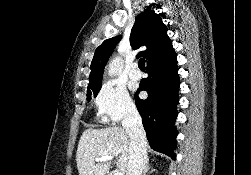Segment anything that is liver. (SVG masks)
Returning <instances> with one entry per match:
<instances>
[{
	"label": "liver",
	"instance_id": "1",
	"mask_svg": "<svg viewBox=\"0 0 251 175\" xmlns=\"http://www.w3.org/2000/svg\"><path fill=\"white\" fill-rule=\"evenodd\" d=\"M129 135L124 127H104V129H85L77 147L76 161L79 175H105L111 161H98L95 157L118 155L116 165L122 173L129 167Z\"/></svg>",
	"mask_w": 251,
	"mask_h": 175
}]
</instances>
